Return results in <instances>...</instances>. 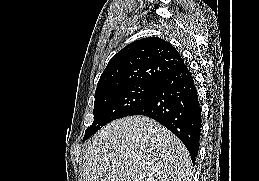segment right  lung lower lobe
I'll list each match as a JSON object with an SVG mask.
<instances>
[{
  "label": "right lung lower lobe",
  "mask_w": 259,
  "mask_h": 181,
  "mask_svg": "<svg viewBox=\"0 0 259 181\" xmlns=\"http://www.w3.org/2000/svg\"><path fill=\"white\" fill-rule=\"evenodd\" d=\"M131 115L161 123L187 147L195 161L201 132V108L192 75L183 64L156 82L150 98Z\"/></svg>",
  "instance_id": "98d812e1"
}]
</instances>
